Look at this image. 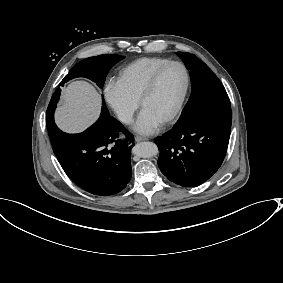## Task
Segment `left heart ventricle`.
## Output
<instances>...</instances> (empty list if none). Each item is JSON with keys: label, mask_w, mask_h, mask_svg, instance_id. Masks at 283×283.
<instances>
[{"label": "left heart ventricle", "mask_w": 283, "mask_h": 283, "mask_svg": "<svg viewBox=\"0 0 283 283\" xmlns=\"http://www.w3.org/2000/svg\"><path fill=\"white\" fill-rule=\"evenodd\" d=\"M185 85L181 66L172 65L159 77L153 92L146 98L142 109H147L161 121L176 107Z\"/></svg>", "instance_id": "1"}]
</instances>
